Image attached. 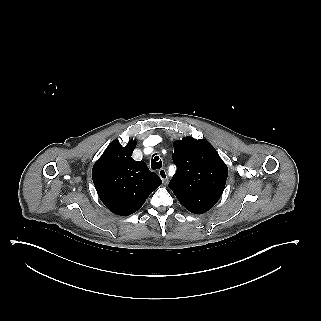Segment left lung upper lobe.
Returning <instances> with one entry per match:
<instances>
[{
    "label": "left lung upper lobe",
    "instance_id": "1",
    "mask_svg": "<svg viewBox=\"0 0 321 321\" xmlns=\"http://www.w3.org/2000/svg\"><path fill=\"white\" fill-rule=\"evenodd\" d=\"M173 145L177 172L169 188L176 196L223 192L228 168L207 140L184 137Z\"/></svg>",
    "mask_w": 321,
    "mask_h": 321
}]
</instances>
